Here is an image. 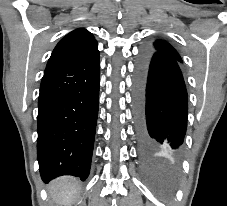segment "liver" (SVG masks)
Instances as JSON below:
<instances>
[{"mask_svg": "<svg viewBox=\"0 0 227 206\" xmlns=\"http://www.w3.org/2000/svg\"><path fill=\"white\" fill-rule=\"evenodd\" d=\"M48 191L53 201L61 206H69L79 193L77 181L72 177H61L51 182Z\"/></svg>", "mask_w": 227, "mask_h": 206, "instance_id": "1", "label": "liver"}]
</instances>
